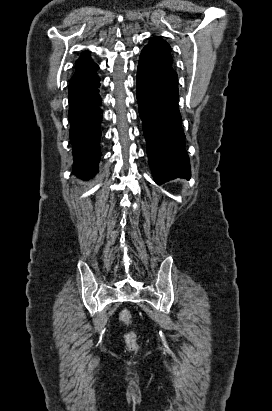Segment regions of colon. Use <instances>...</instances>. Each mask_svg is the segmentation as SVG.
<instances>
[{
  "label": "colon",
  "instance_id": "1",
  "mask_svg": "<svg viewBox=\"0 0 272 411\" xmlns=\"http://www.w3.org/2000/svg\"><path fill=\"white\" fill-rule=\"evenodd\" d=\"M120 322L124 325H130L132 321V315L129 311H122L119 316ZM124 341L127 348L130 351L137 352L140 349V345L137 340V335L133 331H128L124 335Z\"/></svg>",
  "mask_w": 272,
  "mask_h": 411
}]
</instances>
